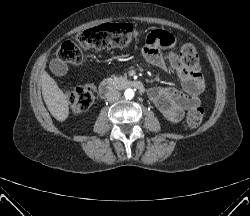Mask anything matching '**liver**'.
<instances>
[{"instance_id": "obj_1", "label": "liver", "mask_w": 250, "mask_h": 216, "mask_svg": "<svg viewBox=\"0 0 250 216\" xmlns=\"http://www.w3.org/2000/svg\"><path fill=\"white\" fill-rule=\"evenodd\" d=\"M40 80L43 99L48 110L58 121H65L69 115V102L67 96L47 72L43 71L41 73Z\"/></svg>"}]
</instances>
